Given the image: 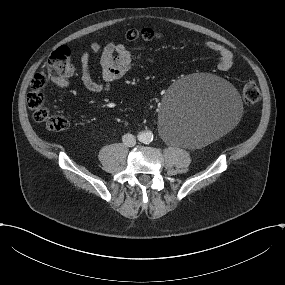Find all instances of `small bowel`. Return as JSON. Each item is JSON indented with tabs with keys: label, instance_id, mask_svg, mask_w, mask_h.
<instances>
[{
	"label": "small bowel",
	"instance_id": "small-bowel-1",
	"mask_svg": "<svg viewBox=\"0 0 285 285\" xmlns=\"http://www.w3.org/2000/svg\"><path fill=\"white\" fill-rule=\"evenodd\" d=\"M205 49L213 51L218 56V69L228 71L233 65V54L224 45L205 41L201 44ZM90 51L99 56L101 67V79L96 80L92 76L89 51L82 53L79 59V78L83 86L90 92L99 93L110 90L113 83L123 78L130 71L135 63L140 60V56L135 54L125 44H117L112 41L101 46L98 42L90 44ZM64 81L61 86H65Z\"/></svg>",
	"mask_w": 285,
	"mask_h": 285
}]
</instances>
